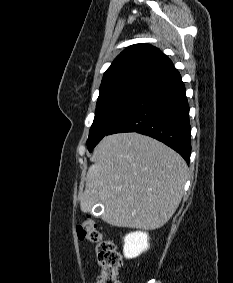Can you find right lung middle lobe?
Masks as SVG:
<instances>
[{
    "mask_svg": "<svg viewBox=\"0 0 233 283\" xmlns=\"http://www.w3.org/2000/svg\"><path fill=\"white\" fill-rule=\"evenodd\" d=\"M149 83L150 81L147 80H130L100 90L94 121L87 140V147L90 152L108 134L112 126Z\"/></svg>",
    "mask_w": 233,
    "mask_h": 283,
    "instance_id": "obj_1",
    "label": "right lung middle lobe"
}]
</instances>
